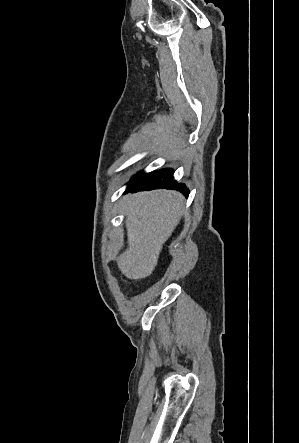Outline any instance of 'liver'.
<instances>
[{"mask_svg": "<svg viewBox=\"0 0 299 443\" xmlns=\"http://www.w3.org/2000/svg\"><path fill=\"white\" fill-rule=\"evenodd\" d=\"M184 197L171 190L138 193L126 212L128 248L117 265L128 279H143L154 271L163 244L178 225Z\"/></svg>", "mask_w": 299, "mask_h": 443, "instance_id": "1", "label": "liver"}]
</instances>
